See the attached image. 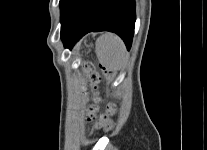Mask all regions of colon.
<instances>
[{
  "instance_id": "obj_1",
  "label": "colon",
  "mask_w": 207,
  "mask_h": 150,
  "mask_svg": "<svg viewBox=\"0 0 207 150\" xmlns=\"http://www.w3.org/2000/svg\"><path fill=\"white\" fill-rule=\"evenodd\" d=\"M83 68L85 73L89 77L91 90L94 91L98 80L97 74L94 72L93 66L90 63H85ZM106 74L110 77L112 76V71L106 69ZM94 100L96 101L97 99L95 98ZM96 110H97L96 106H91L89 109V116L92 117L95 114ZM94 127L98 130L110 129L111 128L110 118L107 115L103 116L100 120L94 123Z\"/></svg>"
}]
</instances>
